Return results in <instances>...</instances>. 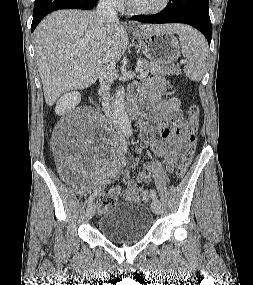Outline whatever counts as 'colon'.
Masks as SVG:
<instances>
[{
	"instance_id": "5ec220e1",
	"label": "colon",
	"mask_w": 253,
	"mask_h": 285,
	"mask_svg": "<svg viewBox=\"0 0 253 285\" xmlns=\"http://www.w3.org/2000/svg\"><path fill=\"white\" fill-rule=\"evenodd\" d=\"M188 141L181 158V161L175 171L177 179H181L187 173L189 166L191 165L195 150L197 146V134L199 128V108L196 105H192L188 110ZM143 201L149 199L148 191L142 193ZM115 203V199L109 193L102 194L97 199V205L99 209L105 210L106 208L112 206Z\"/></svg>"
}]
</instances>
